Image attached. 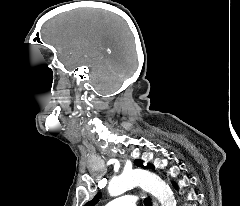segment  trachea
Returning <instances> with one entry per match:
<instances>
[{"mask_svg": "<svg viewBox=\"0 0 240 206\" xmlns=\"http://www.w3.org/2000/svg\"><path fill=\"white\" fill-rule=\"evenodd\" d=\"M144 205H145V206H152V205H151V200H150L149 198H146V199L144 200Z\"/></svg>", "mask_w": 240, "mask_h": 206, "instance_id": "trachea-1", "label": "trachea"}]
</instances>
